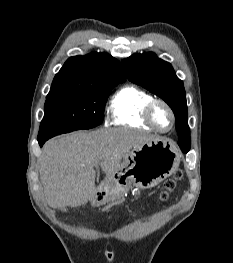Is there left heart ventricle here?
Wrapping results in <instances>:
<instances>
[{
	"mask_svg": "<svg viewBox=\"0 0 233 263\" xmlns=\"http://www.w3.org/2000/svg\"><path fill=\"white\" fill-rule=\"evenodd\" d=\"M154 120L162 129H167L171 123V117L166 108L162 105H157L154 109Z\"/></svg>",
	"mask_w": 233,
	"mask_h": 263,
	"instance_id": "1",
	"label": "left heart ventricle"
}]
</instances>
